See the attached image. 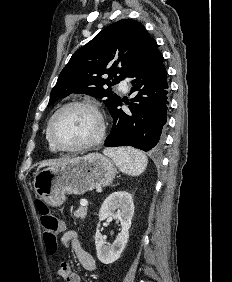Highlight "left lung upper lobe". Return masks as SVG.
<instances>
[{
    "instance_id": "1",
    "label": "left lung upper lobe",
    "mask_w": 232,
    "mask_h": 282,
    "mask_svg": "<svg viewBox=\"0 0 232 282\" xmlns=\"http://www.w3.org/2000/svg\"><path fill=\"white\" fill-rule=\"evenodd\" d=\"M152 40L137 21L120 20L108 26L73 54L51 91L49 105L81 93L106 98L104 104L110 111L120 101L110 87L129 75ZM103 74L109 77L104 79ZM105 85L109 88L105 89Z\"/></svg>"
}]
</instances>
